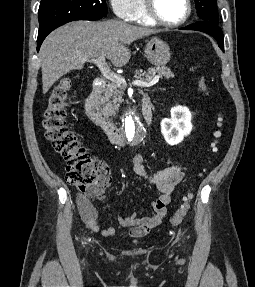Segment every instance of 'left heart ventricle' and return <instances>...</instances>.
I'll list each match as a JSON object with an SVG mask.
<instances>
[{"label":"left heart ventricle","mask_w":255,"mask_h":287,"mask_svg":"<svg viewBox=\"0 0 255 287\" xmlns=\"http://www.w3.org/2000/svg\"><path fill=\"white\" fill-rule=\"evenodd\" d=\"M114 39H127V38H114ZM112 48H132V47H112ZM153 48H158V47H153Z\"/></svg>","instance_id":"left-heart-ventricle-1"}]
</instances>
